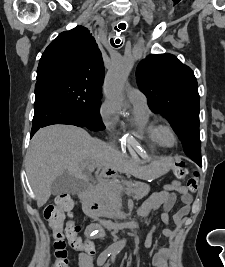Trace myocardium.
<instances>
[{"label":"myocardium","mask_w":225,"mask_h":267,"mask_svg":"<svg viewBox=\"0 0 225 267\" xmlns=\"http://www.w3.org/2000/svg\"><path fill=\"white\" fill-rule=\"evenodd\" d=\"M158 138L161 145L165 147H173L178 142V136L174 127L169 123H162L158 125ZM167 135L172 137V142L167 140Z\"/></svg>","instance_id":"obj_1"}]
</instances>
